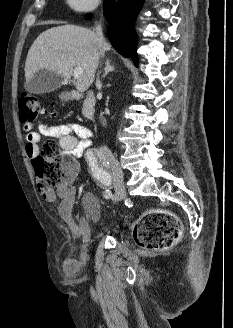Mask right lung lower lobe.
I'll use <instances>...</instances> for the list:
<instances>
[{"mask_svg": "<svg viewBox=\"0 0 233 328\" xmlns=\"http://www.w3.org/2000/svg\"><path fill=\"white\" fill-rule=\"evenodd\" d=\"M144 0H105L104 15L109 22L108 35L112 46L123 56L138 64L135 19Z\"/></svg>", "mask_w": 233, "mask_h": 328, "instance_id": "98d812e1", "label": "right lung lower lobe"}]
</instances>
